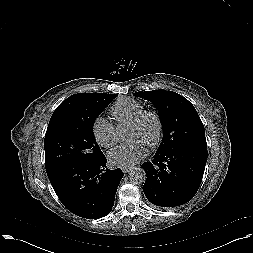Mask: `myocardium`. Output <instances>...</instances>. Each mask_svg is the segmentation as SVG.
<instances>
[{
    "label": "myocardium",
    "instance_id": "f54148a6",
    "mask_svg": "<svg viewBox=\"0 0 253 253\" xmlns=\"http://www.w3.org/2000/svg\"><path fill=\"white\" fill-rule=\"evenodd\" d=\"M149 117L153 118L157 125V131H156L155 137L153 141L148 144V147L150 149H154L159 145L163 136V122L160 115L156 111H153V110L142 111L129 123V126L139 127L143 123V121Z\"/></svg>",
    "mask_w": 253,
    "mask_h": 253
}]
</instances>
